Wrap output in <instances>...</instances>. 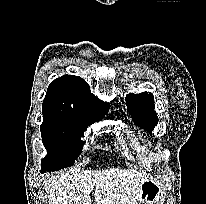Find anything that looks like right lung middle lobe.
I'll list each match as a JSON object with an SVG mask.
<instances>
[{
    "mask_svg": "<svg viewBox=\"0 0 206 204\" xmlns=\"http://www.w3.org/2000/svg\"><path fill=\"white\" fill-rule=\"evenodd\" d=\"M100 119L73 112L43 109L42 141L47 149L41 170L54 171L69 167L82 152L84 131Z\"/></svg>",
    "mask_w": 206,
    "mask_h": 204,
    "instance_id": "obj_1",
    "label": "right lung middle lobe"
}]
</instances>
